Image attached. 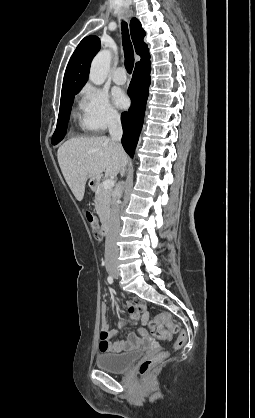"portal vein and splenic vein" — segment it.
<instances>
[{
	"instance_id": "obj_1",
	"label": "portal vein and splenic vein",
	"mask_w": 255,
	"mask_h": 418,
	"mask_svg": "<svg viewBox=\"0 0 255 418\" xmlns=\"http://www.w3.org/2000/svg\"><path fill=\"white\" fill-rule=\"evenodd\" d=\"M114 184L115 182L112 178L103 181V187L108 190L112 189L114 187Z\"/></svg>"
}]
</instances>
